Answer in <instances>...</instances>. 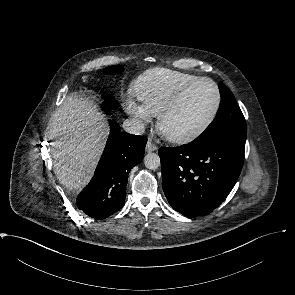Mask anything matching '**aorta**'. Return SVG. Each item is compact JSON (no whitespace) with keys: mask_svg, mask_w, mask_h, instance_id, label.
<instances>
[{"mask_svg":"<svg viewBox=\"0 0 295 295\" xmlns=\"http://www.w3.org/2000/svg\"><path fill=\"white\" fill-rule=\"evenodd\" d=\"M160 157L156 153H148L144 157V165L150 170H155L160 166Z\"/></svg>","mask_w":295,"mask_h":295,"instance_id":"aorta-1","label":"aorta"}]
</instances>
